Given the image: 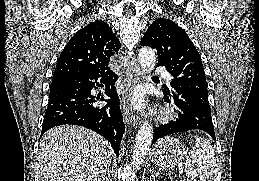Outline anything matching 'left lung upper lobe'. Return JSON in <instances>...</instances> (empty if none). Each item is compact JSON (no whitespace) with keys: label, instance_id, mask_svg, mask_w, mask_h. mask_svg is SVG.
Here are the masks:
<instances>
[{"label":"left lung upper lobe","instance_id":"1","mask_svg":"<svg viewBox=\"0 0 259 181\" xmlns=\"http://www.w3.org/2000/svg\"><path fill=\"white\" fill-rule=\"evenodd\" d=\"M141 45L156 48L158 66H165L173 76L170 85L163 88H174L210 110L201 58L181 27L169 19L158 18L147 29Z\"/></svg>","mask_w":259,"mask_h":181}]
</instances>
